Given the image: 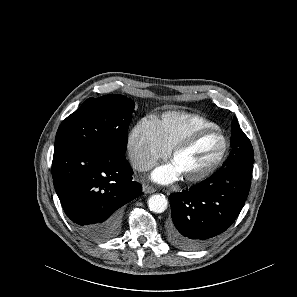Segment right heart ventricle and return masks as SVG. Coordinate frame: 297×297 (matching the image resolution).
I'll return each mask as SVG.
<instances>
[{
    "label": "right heart ventricle",
    "instance_id": "e07e8e85",
    "mask_svg": "<svg viewBox=\"0 0 297 297\" xmlns=\"http://www.w3.org/2000/svg\"><path fill=\"white\" fill-rule=\"evenodd\" d=\"M153 126L160 143L170 150L191 131L203 127H216V124L194 113L169 111L154 119Z\"/></svg>",
    "mask_w": 297,
    "mask_h": 297
}]
</instances>
